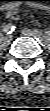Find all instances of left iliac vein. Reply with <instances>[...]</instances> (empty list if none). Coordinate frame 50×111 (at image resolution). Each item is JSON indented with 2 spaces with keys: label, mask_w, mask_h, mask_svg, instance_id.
<instances>
[{
  "label": "left iliac vein",
  "mask_w": 50,
  "mask_h": 111,
  "mask_svg": "<svg viewBox=\"0 0 50 111\" xmlns=\"http://www.w3.org/2000/svg\"><path fill=\"white\" fill-rule=\"evenodd\" d=\"M21 33L26 36L36 37L35 33L32 30L27 29V28L22 29Z\"/></svg>",
  "instance_id": "left-iliac-vein-1"
}]
</instances>
